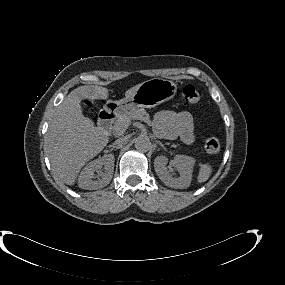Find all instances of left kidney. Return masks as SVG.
Returning a JSON list of instances; mask_svg holds the SVG:
<instances>
[{
    "label": "left kidney",
    "instance_id": "obj_1",
    "mask_svg": "<svg viewBox=\"0 0 285 285\" xmlns=\"http://www.w3.org/2000/svg\"><path fill=\"white\" fill-rule=\"evenodd\" d=\"M168 159L164 156H158L154 162V168L161 181L171 188L184 189L190 186L192 180V171L195 159L186 155H176L173 164L179 172V177H173L167 171L166 164Z\"/></svg>",
    "mask_w": 285,
    "mask_h": 285
}]
</instances>
